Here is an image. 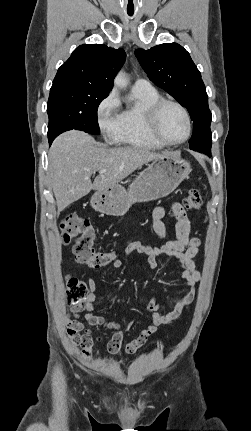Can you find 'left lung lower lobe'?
<instances>
[{"label": "left lung lower lobe", "instance_id": "0a47b994", "mask_svg": "<svg viewBox=\"0 0 251 431\" xmlns=\"http://www.w3.org/2000/svg\"><path fill=\"white\" fill-rule=\"evenodd\" d=\"M193 131H199V129L196 128V126H193Z\"/></svg>", "mask_w": 251, "mask_h": 431}]
</instances>
